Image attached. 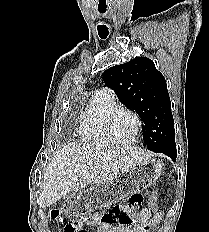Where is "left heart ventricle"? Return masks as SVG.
<instances>
[{"mask_svg": "<svg viewBox=\"0 0 209 232\" xmlns=\"http://www.w3.org/2000/svg\"><path fill=\"white\" fill-rule=\"evenodd\" d=\"M114 136L121 141L129 139L136 129V121L129 113L120 114L113 122Z\"/></svg>", "mask_w": 209, "mask_h": 232, "instance_id": "1", "label": "left heart ventricle"}]
</instances>
